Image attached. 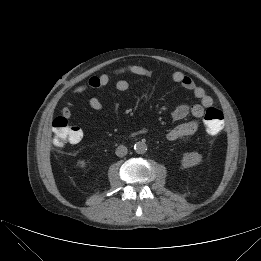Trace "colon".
<instances>
[{"instance_id":"colon-1","label":"colon","mask_w":261,"mask_h":261,"mask_svg":"<svg viewBox=\"0 0 261 261\" xmlns=\"http://www.w3.org/2000/svg\"><path fill=\"white\" fill-rule=\"evenodd\" d=\"M203 121L209 135L218 134L224 123V115L221 110L210 106L205 110ZM54 133L53 143L61 148L67 144H76L82 139V132L79 127L71 126L63 116L56 117L52 122Z\"/></svg>"}]
</instances>
